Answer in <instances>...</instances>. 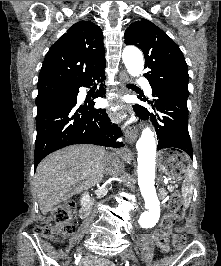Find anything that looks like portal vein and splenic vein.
Returning <instances> with one entry per match:
<instances>
[{
  "instance_id": "18ae733b",
  "label": "portal vein and splenic vein",
  "mask_w": 221,
  "mask_h": 266,
  "mask_svg": "<svg viewBox=\"0 0 221 266\" xmlns=\"http://www.w3.org/2000/svg\"><path fill=\"white\" fill-rule=\"evenodd\" d=\"M164 181H165V183H168V180L167 179H165Z\"/></svg>"
}]
</instances>
